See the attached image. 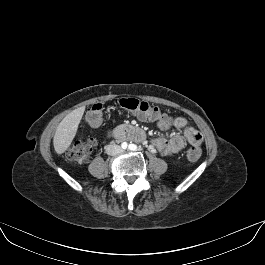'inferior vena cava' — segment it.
<instances>
[{"instance_id":"602c4592","label":"inferior vena cava","mask_w":265,"mask_h":265,"mask_svg":"<svg viewBox=\"0 0 265 265\" xmlns=\"http://www.w3.org/2000/svg\"><path fill=\"white\" fill-rule=\"evenodd\" d=\"M105 151L108 155L115 156L122 153L123 149L119 145L110 144L106 146Z\"/></svg>"}]
</instances>
